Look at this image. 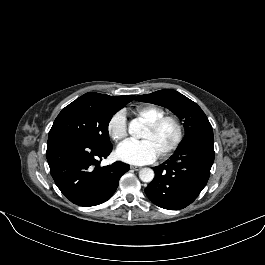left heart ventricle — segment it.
<instances>
[{"label":"left heart ventricle","instance_id":"obj_1","mask_svg":"<svg viewBox=\"0 0 265 265\" xmlns=\"http://www.w3.org/2000/svg\"><path fill=\"white\" fill-rule=\"evenodd\" d=\"M176 133L175 125L172 122H166L155 132L146 128L141 139L149 141L159 155L173 143Z\"/></svg>","mask_w":265,"mask_h":265}]
</instances>
